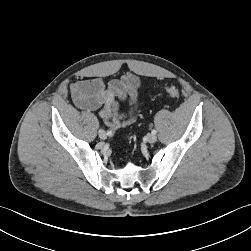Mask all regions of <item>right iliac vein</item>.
<instances>
[{
  "label": "right iliac vein",
  "mask_w": 251,
  "mask_h": 251,
  "mask_svg": "<svg viewBox=\"0 0 251 251\" xmlns=\"http://www.w3.org/2000/svg\"><path fill=\"white\" fill-rule=\"evenodd\" d=\"M98 135L101 139H106L107 138V133L105 130L103 129H100L99 132H98Z\"/></svg>",
  "instance_id": "1"
}]
</instances>
